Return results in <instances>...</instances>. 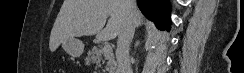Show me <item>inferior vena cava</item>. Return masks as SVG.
<instances>
[{"instance_id":"obj_1","label":"inferior vena cava","mask_w":244,"mask_h":73,"mask_svg":"<svg viewBox=\"0 0 244 73\" xmlns=\"http://www.w3.org/2000/svg\"><path fill=\"white\" fill-rule=\"evenodd\" d=\"M136 2L123 0L124 23L118 35L116 59L118 73H132L129 59V46L136 27Z\"/></svg>"}]
</instances>
